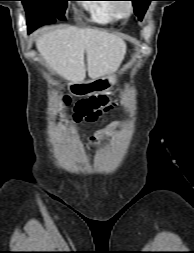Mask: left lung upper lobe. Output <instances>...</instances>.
Instances as JSON below:
<instances>
[{
  "mask_svg": "<svg viewBox=\"0 0 194 253\" xmlns=\"http://www.w3.org/2000/svg\"><path fill=\"white\" fill-rule=\"evenodd\" d=\"M133 2L135 14L138 16L139 20H142L149 4L153 0H130Z\"/></svg>",
  "mask_w": 194,
  "mask_h": 253,
  "instance_id": "1",
  "label": "left lung upper lobe"
}]
</instances>
